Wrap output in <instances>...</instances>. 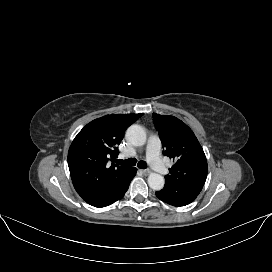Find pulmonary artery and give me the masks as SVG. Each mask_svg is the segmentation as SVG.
Segmentation results:
<instances>
[{"mask_svg":"<svg viewBox=\"0 0 272 272\" xmlns=\"http://www.w3.org/2000/svg\"><path fill=\"white\" fill-rule=\"evenodd\" d=\"M161 142L160 139L151 135L147 143V159L151 167L160 174H167L168 167L163 163L160 157Z\"/></svg>","mask_w":272,"mask_h":272,"instance_id":"1","label":"pulmonary artery"}]
</instances>
